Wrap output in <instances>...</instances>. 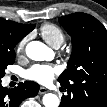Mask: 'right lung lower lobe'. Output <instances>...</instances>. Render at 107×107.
<instances>
[{
    "mask_svg": "<svg viewBox=\"0 0 107 107\" xmlns=\"http://www.w3.org/2000/svg\"><path fill=\"white\" fill-rule=\"evenodd\" d=\"M38 91L39 85L33 81H25L12 89L2 87L0 81V107H18L22 100L36 96Z\"/></svg>",
    "mask_w": 107,
    "mask_h": 107,
    "instance_id": "obj_1",
    "label": "right lung lower lobe"
}]
</instances>
